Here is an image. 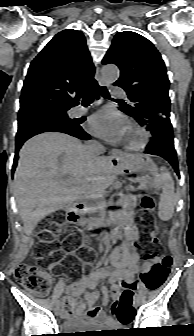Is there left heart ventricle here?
Wrapping results in <instances>:
<instances>
[{"mask_svg": "<svg viewBox=\"0 0 194 336\" xmlns=\"http://www.w3.org/2000/svg\"><path fill=\"white\" fill-rule=\"evenodd\" d=\"M137 139H138L137 135L133 131L127 128L125 136H124V140L136 141Z\"/></svg>", "mask_w": 194, "mask_h": 336, "instance_id": "b2bd125f", "label": "left heart ventricle"}]
</instances>
